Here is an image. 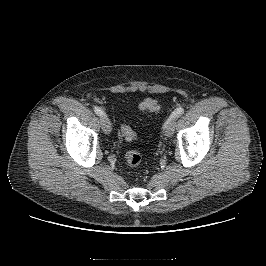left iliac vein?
I'll list each match as a JSON object with an SVG mask.
<instances>
[{"label":"left iliac vein","instance_id":"obj_1","mask_svg":"<svg viewBox=\"0 0 266 266\" xmlns=\"http://www.w3.org/2000/svg\"><path fill=\"white\" fill-rule=\"evenodd\" d=\"M173 133H174V121L170 120L166 124L165 135L167 137H171L173 135Z\"/></svg>","mask_w":266,"mask_h":266}]
</instances>
